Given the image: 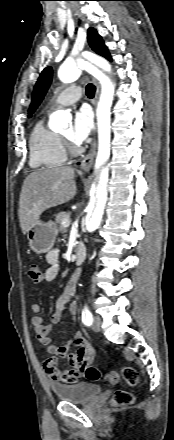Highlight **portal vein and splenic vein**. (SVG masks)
<instances>
[{
  "instance_id": "18ae733b",
  "label": "portal vein and splenic vein",
  "mask_w": 174,
  "mask_h": 440,
  "mask_svg": "<svg viewBox=\"0 0 174 440\" xmlns=\"http://www.w3.org/2000/svg\"><path fill=\"white\" fill-rule=\"evenodd\" d=\"M70 223H71L70 219H64V220L62 221V225H63L64 227H68V226L70 225Z\"/></svg>"
}]
</instances>
